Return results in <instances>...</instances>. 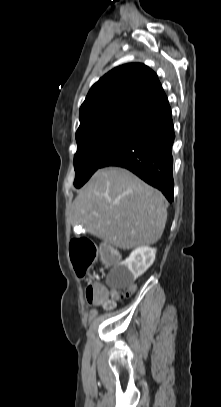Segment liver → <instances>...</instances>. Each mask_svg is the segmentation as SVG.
Masks as SVG:
<instances>
[{"label":"liver","mask_w":221,"mask_h":407,"mask_svg":"<svg viewBox=\"0 0 221 407\" xmlns=\"http://www.w3.org/2000/svg\"><path fill=\"white\" fill-rule=\"evenodd\" d=\"M73 211L87 232L121 249L156 243L167 220L163 194L119 167L96 171L75 198Z\"/></svg>","instance_id":"1"}]
</instances>
